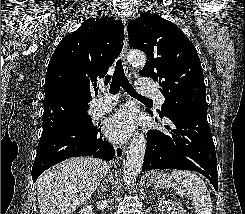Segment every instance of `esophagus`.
Wrapping results in <instances>:
<instances>
[{"mask_svg":"<svg viewBox=\"0 0 245 214\" xmlns=\"http://www.w3.org/2000/svg\"><path fill=\"white\" fill-rule=\"evenodd\" d=\"M120 20L124 26V46L122 49V53H121V57H122V61H123V65H124V69H125V73L127 75L128 78H132L133 73H132V69L131 66L128 64L127 62V53H128V40H127V27H126V19L124 17H120ZM114 150H115V156L117 159H122L123 155H124V147L121 145H115L114 146Z\"/></svg>","mask_w":245,"mask_h":214,"instance_id":"obj_1","label":"esophagus"}]
</instances>
